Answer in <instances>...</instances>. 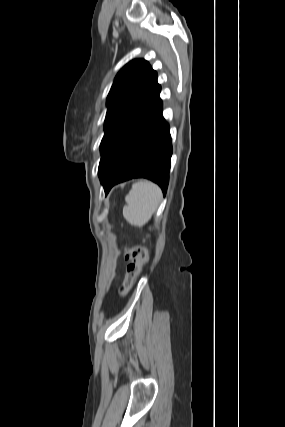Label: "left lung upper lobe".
<instances>
[{"label": "left lung upper lobe", "mask_w": 285, "mask_h": 427, "mask_svg": "<svg viewBox=\"0 0 285 427\" xmlns=\"http://www.w3.org/2000/svg\"><path fill=\"white\" fill-rule=\"evenodd\" d=\"M160 89L156 71L144 59L133 60L119 71L107 97L105 134L100 145L102 156L150 106Z\"/></svg>", "instance_id": "1"}]
</instances>
